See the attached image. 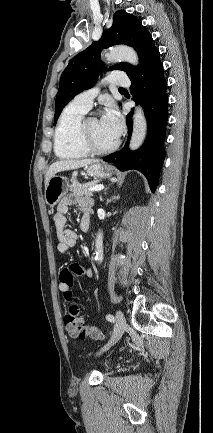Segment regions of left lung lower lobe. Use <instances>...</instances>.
<instances>
[{"label": "left lung lower lobe", "mask_w": 213, "mask_h": 433, "mask_svg": "<svg viewBox=\"0 0 213 433\" xmlns=\"http://www.w3.org/2000/svg\"><path fill=\"white\" fill-rule=\"evenodd\" d=\"M160 54L155 47L146 56L143 64L131 76L130 92L133 99L139 102L145 110L148 121V136L145 144L137 151L129 150L132 133V114L127 119L128 140L125 146L105 158L121 171L136 169L142 172L155 192L158 186L160 170L165 158L163 143L166 133L168 97L167 82L164 78L163 65Z\"/></svg>", "instance_id": "obj_1"}]
</instances>
